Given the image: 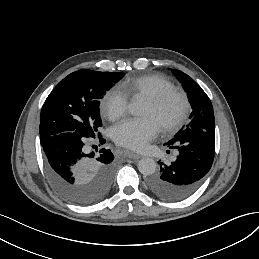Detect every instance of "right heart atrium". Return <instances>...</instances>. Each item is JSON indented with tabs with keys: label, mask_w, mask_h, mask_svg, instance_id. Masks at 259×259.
<instances>
[{
	"label": "right heart atrium",
	"mask_w": 259,
	"mask_h": 259,
	"mask_svg": "<svg viewBox=\"0 0 259 259\" xmlns=\"http://www.w3.org/2000/svg\"><path fill=\"white\" fill-rule=\"evenodd\" d=\"M105 112L111 119L124 115L127 111L128 102L115 90H109L103 97Z\"/></svg>",
	"instance_id": "obj_1"
}]
</instances>
